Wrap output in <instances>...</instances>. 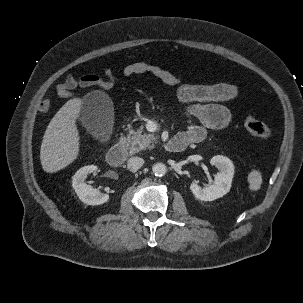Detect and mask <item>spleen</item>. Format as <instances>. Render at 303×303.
<instances>
[{
	"label": "spleen",
	"instance_id": "3e777b00",
	"mask_svg": "<svg viewBox=\"0 0 303 303\" xmlns=\"http://www.w3.org/2000/svg\"><path fill=\"white\" fill-rule=\"evenodd\" d=\"M248 183H249V189L251 191H257L260 189L261 184H262V175L260 171L258 170H252L248 174Z\"/></svg>",
	"mask_w": 303,
	"mask_h": 303
}]
</instances>
